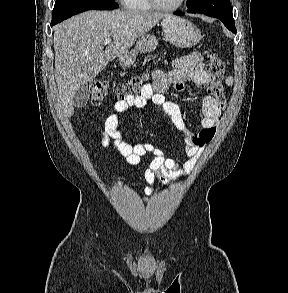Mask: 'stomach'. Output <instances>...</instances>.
<instances>
[{
    "label": "stomach",
    "mask_w": 288,
    "mask_h": 293,
    "mask_svg": "<svg viewBox=\"0 0 288 293\" xmlns=\"http://www.w3.org/2000/svg\"><path fill=\"white\" fill-rule=\"evenodd\" d=\"M162 29L167 41L180 48H189L196 45L201 39L200 30L190 21L168 15L163 18ZM158 45V39L154 35H142L135 48L119 57V64L128 68L136 61L137 54L154 51Z\"/></svg>",
    "instance_id": "obj_1"
}]
</instances>
